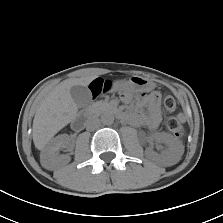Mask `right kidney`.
I'll return each instance as SVG.
<instances>
[{
    "label": "right kidney",
    "mask_w": 223,
    "mask_h": 223,
    "mask_svg": "<svg viewBox=\"0 0 223 223\" xmlns=\"http://www.w3.org/2000/svg\"><path fill=\"white\" fill-rule=\"evenodd\" d=\"M69 144V136L61 134L52 139L48 145L42 150L40 159L41 164L47 168L52 169L58 164H67L70 162L69 155H60L59 150Z\"/></svg>",
    "instance_id": "1"
}]
</instances>
